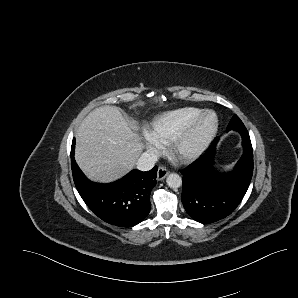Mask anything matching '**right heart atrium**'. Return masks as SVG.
<instances>
[{"label": "right heart atrium", "mask_w": 298, "mask_h": 298, "mask_svg": "<svg viewBox=\"0 0 298 298\" xmlns=\"http://www.w3.org/2000/svg\"><path fill=\"white\" fill-rule=\"evenodd\" d=\"M139 136L142 139V143L156 154L162 152L166 147L163 134L152 126L143 127L139 132Z\"/></svg>", "instance_id": "obj_1"}]
</instances>
